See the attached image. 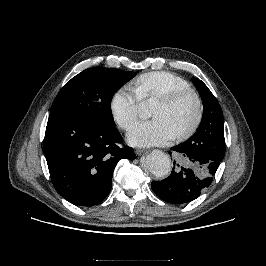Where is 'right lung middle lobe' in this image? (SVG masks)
<instances>
[{"label":"right lung middle lobe","mask_w":266,"mask_h":266,"mask_svg":"<svg viewBox=\"0 0 266 266\" xmlns=\"http://www.w3.org/2000/svg\"><path fill=\"white\" fill-rule=\"evenodd\" d=\"M136 73L111 68H89L73 77L57 94L51 114L68 115L113 126L111 100Z\"/></svg>","instance_id":"obj_1"}]
</instances>
